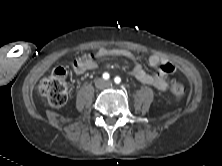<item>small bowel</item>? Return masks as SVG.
I'll return each mask as SVG.
<instances>
[{"instance_id":"1","label":"small bowel","mask_w":222,"mask_h":166,"mask_svg":"<svg viewBox=\"0 0 222 166\" xmlns=\"http://www.w3.org/2000/svg\"><path fill=\"white\" fill-rule=\"evenodd\" d=\"M110 56H120L130 60L133 63L130 74L141 83L150 85L160 91L167 90V77L175 71V66L171 62L154 54L149 57L148 61L151 66L158 67V71L156 73H148L143 69L137 57L129 50L123 48H100L95 53L86 54L75 59L72 62V68L75 73L84 74L89 70L97 68L96 58Z\"/></svg>"}]
</instances>
